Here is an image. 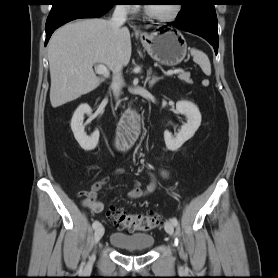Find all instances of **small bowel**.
I'll return each instance as SVG.
<instances>
[{"label":"small bowel","instance_id":"obj_1","mask_svg":"<svg viewBox=\"0 0 278 278\" xmlns=\"http://www.w3.org/2000/svg\"><path fill=\"white\" fill-rule=\"evenodd\" d=\"M123 172L122 169H117L115 171L116 174H121ZM161 177L166 178L168 176V172L166 170H162L160 172ZM107 180L103 179L95 182L91 189L85 193V198L82 203L84 207L89 209L92 213L98 214L101 213L104 209L103 203L98 198V192L101 188L106 184ZM157 186V177L150 173V182L147 185L146 189H142L141 185L138 181H134L132 184L131 190L128 192L127 196L131 199H138L144 196L151 194Z\"/></svg>","mask_w":278,"mask_h":278}]
</instances>
